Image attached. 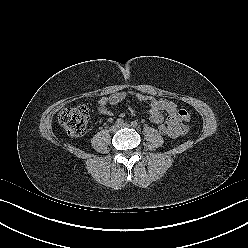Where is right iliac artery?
<instances>
[{
	"label": "right iliac artery",
	"mask_w": 248,
	"mask_h": 248,
	"mask_svg": "<svg viewBox=\"0 0 248 248\" xmlns=\"http://www.w3.org/2000/svg\"><path fill=\"white\" fill-rule=\"evenodd\" d=\"M123 122H124V121H123V119H121V118L116 120V124H118V125H121Z\"/></svg>",
	"instance_id": "obj_1"
}]
</instances>
